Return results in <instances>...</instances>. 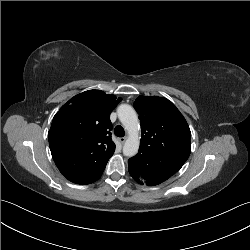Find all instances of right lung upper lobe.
I'll return each instance as SVG.
<instances>
[{"label":"right lung upper lobe","mask_w":250,"mask_h":250,"mask_svg":"<svg viewBox=\"0 0 250 250\" xmlns=\"http://www.w3.org/2000/svg\"><path fill=\"white\" fill-rule=\"evenodd\" d=\"M121 100L89 90L71 98L54 116L49 146L56 166L69 181L90 184L101 177L115 151L110 113Z\"/></svg>","instance_id":"1"}]
</instances>
